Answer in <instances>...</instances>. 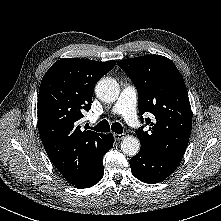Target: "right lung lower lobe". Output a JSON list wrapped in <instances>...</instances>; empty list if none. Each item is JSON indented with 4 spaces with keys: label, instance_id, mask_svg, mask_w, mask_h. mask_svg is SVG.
Returning a JSON list of instances; mask_svg holds the SVG:
<instances>
[{
    "label": "right lung lower lobe",
    "instance_id": "obj_1",
    "mask_svg": "<svg viewBox=\"0 0 221 221\" xmlns=\"http://www.w3.org/2000/svg\"><path fill=\"white\" fill-rule=\"evenodd\" d=\"M113 142H114L113 135L112 134L106 135L105 144H104L103 151L101 153L99 161L97 162L95 167L91 170L89 175L85 177L84 179H82L77 184H75L74 185L75 187L88 188L97 184L102 179L103 174H104L103 173L104 166L102 164V157L106 152H108L112 148Z\"/></svg>",
    "mask_w": 221,
    "mask_h": 221
}]
</instances>
